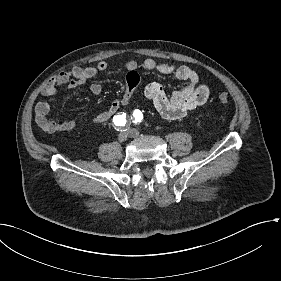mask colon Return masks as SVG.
Masks as SVG:
<instances>
[{"label": "colon", "instance_id": "5ec220e1", "mask_svg": "<svg viewBox=\"0 0 281 281\" xmlns=\"http://www.w3.org/2000/svg\"><path fill=\"white\" fill-rule=\"evenodd\" d=\"M217 101L221 104H227L229 102V97L226 94H220L217 97Z\"/></svg>", "mask_w": 281, "mask_h": 281}]
</instances>
